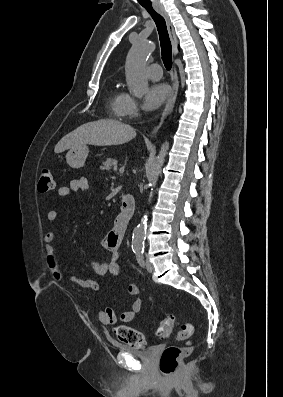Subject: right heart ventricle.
Instances as JSON below:
<instances>
[{"label": "right heart ventricle", "mask_w": 283, "mask_h": 397, "mask_svg": "<svg viewBox=\"0 0 283 397\" xmlns=\"http://www.w3.org/2000/svg\"><path fill=\"white\" fill-rule=\"evenodd\" d=\"M125 93L121 92L119 89L114 88L109 96V108L113 115L120 116V107L123 101Z\"/></svg>", "instance_id": "right-heart-ventricle-1"}]
</instances>
